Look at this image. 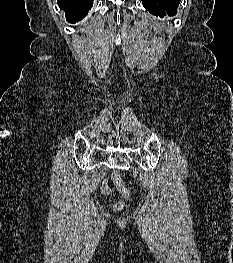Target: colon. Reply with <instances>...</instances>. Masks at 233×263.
<instances>
[{
  "mask_svg": "<svg viewBox=\"0 0 233 263\" xmlns=\"http://www.w3.org/2000/svg\"><path fill=\"white\" fill-rule=\"evenodd\" d=\"M112 178L115 181V183L117 184L118 190L119 192L122 194V196L124 197V199L126 201L131 199V193L130 191L124 186V184L122 183V181L120 180L118 174L116 172H114L112 174ZM123 203H118L115 205V209H121L123 207Z\"/></svg>",
  "mask_w": 233,
  "mask_h": 263,
  "instance_id": "obj_1",
  "label": "colon"
}]
</instances>
